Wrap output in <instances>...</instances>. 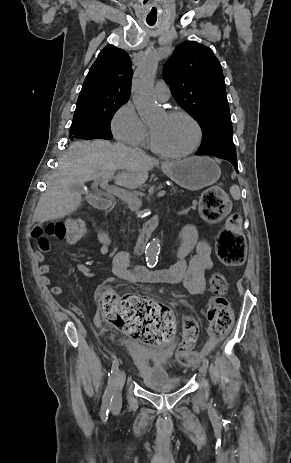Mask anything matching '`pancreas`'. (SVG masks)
I'll list each match as a JSON object with an SVG mask.
<instances>
[{
  "mask_svg": "<svg viewBox=\"0 0 291 463\" xmlns=\"http://www.w3.org/2000/svg\"><path fill=\"white\" fill-rule=\"evenodd\" d=\"M170 195L173 196H185V193L183 190H180L178 187L171 185L170 188Z\"/></svg>",
  "mask_w": 291,
  "mask_h": 463,
  "instance_id": "pancreas-1",
  "label": "pancreas"
}]
</instances>
